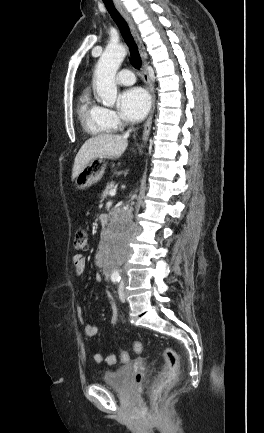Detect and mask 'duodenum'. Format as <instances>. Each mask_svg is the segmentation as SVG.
<instances>
[{
	"mask_svg": "<svg viewBox=\"0 0 264 433\" xmlns=\"http://www.w3.org/2000/svg\"><path fill=\"white\" fill-rule=\"evenodd\" d=\"M101 220H102L103 224L106 226L107 223H108V217H107V215H102V216H101ZM108 255H109V253H108V249L103 248V249L99 252V254H98V258L101 260L103 256H108ZM111 271H112L111 267H110L109 265H107L106 268H105V273H106L107 275H110V274H111Z\"/></svg>",
	"mask_w": 264,
	"mask_h": 433,
	"instance_id": "1",
	"label": "duodenum"
}]
</instances>
